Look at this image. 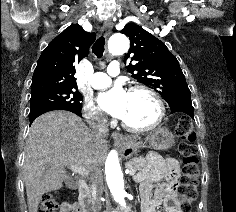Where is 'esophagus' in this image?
I'll return each mask as SVG.
<instances>
[{
  "label": "esophagus",
  "instance_id": "1",
  "mask_svg": "<svg viewBox=\"0 0 236 212\" xmlns=\"http://www.w3.org/2000/svg\"><path fill=\"white\" fill-rule=\"evenodd\" d=\"M112 27H113V23L111 20H106L103 23V30L106 32L107 36L110 34ZM112 138L114 139L116 143H122L128 140V138H126L125 136H123L122 134L118 132H113Z\"/></svg>",
  "mask_w": 236,
  "mask_h": 212
}]
</instances>
